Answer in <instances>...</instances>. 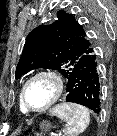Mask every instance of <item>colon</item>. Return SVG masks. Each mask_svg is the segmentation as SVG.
I'll return each mask as SVG.
<instances>
[{
	"mask_svg": "<svg viewBox=\"0 0 117 136\" xmlns=\"http://www.w3.org/2000/svg\"><path fill=\"white\" fill-rule=\"evenodd\" d=\"M26 135H27V136H32L33 133H32V132H27Z\"/></svg>",
	"mask_w": 117,
	"mask_h": 136,
	"instance_id": "5ec220e1",
	"label": "colon"
}]
</instances>
